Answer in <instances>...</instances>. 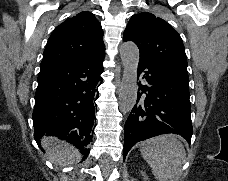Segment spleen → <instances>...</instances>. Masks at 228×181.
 <instances>
[{
  "instance_id": "3e777b00",
  "label": "spleen",
  "mask_w": 228,
  "mask_h": 181,
  "mask_svg": "<svg viewBox=\"0 0 228 181\" xmlns=\"http://www.w3.org/2000/svg\"><path fill=\"white\" fill-rule=\"evenodd\" d=\"M140 151L157 181H176L180 177L186 151L173 135H160L143 141Z\"/></svg>"
}]
</instances>
